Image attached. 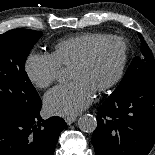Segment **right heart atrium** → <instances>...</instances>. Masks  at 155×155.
I'll return each instance as SVG.
<instances>
[{"label": "right heart atrium", "mask_w": 155, "mask_h": 155, "mask_svg": "<svg viewBox=\"0 0 155 155\" xmlns=\"http://www.w3.org/2000/svg\"><path fill=\"white\" fill-rule=\"evenodd\" d=\"M61 66L51 54L31 53L25 62V72L30 82L44 89L53 84L60 73Z\"/></svg>", "instance_id": "obj_1"}]
</instances>
